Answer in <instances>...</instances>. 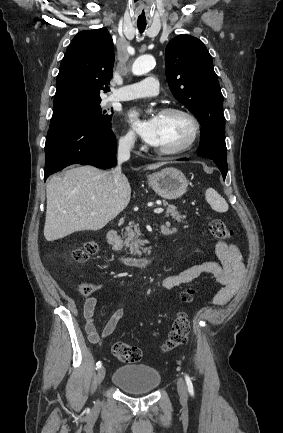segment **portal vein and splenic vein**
Returning <instances> with one entry per match:
<instances>
[{
	"instance_id": "1",
	"label": "portal vein and splenic vein",
	"mask_w": 283,
	"mask_h": 433,
	"mask_svg": "<svg viewBox=\"0 0 283 433\" xmlns=\"http://www.w3.org/2000/svg\"><path fill=\"white\" fill-rule=\"evenodd\" d=\"M164 208H154V212H163Z\"/></svg>"
}]
</instances>
